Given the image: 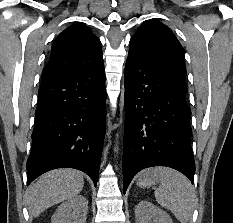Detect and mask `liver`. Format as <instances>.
Instances as JSON below:
<instances>
[{
  "label": "liver",
  "instance_id": "1",
  "mask_svg": "<svg viewBox=\"0 0 233 223\" xmlns=\"http://www.w3.org/2000/svg\"><path fill=\"white\" fill-rule=\"evenodd\" d=\"M84 177L77 169H52L38 177L32 183L26 201L28 209L34 217H38L44 209L55 203L65 201L73 195H78L83 189Z\"/></svg>",
  "mask_w": 233,
  "mask_h": 223
}]
</instances>
